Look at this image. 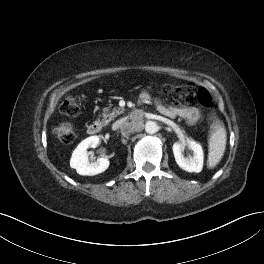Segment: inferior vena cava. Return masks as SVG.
Instances as JSON below:
<instances>
[{"instance_id":"obj_1","label":"inferior vena cava","mask_w":264,"mask_h":264,"mask_svg":"<svg viewBox=\"0 0 264 264\" xmlns=\"http://www.w3.org/2000/svg\"><path fill=\"white\" fill-rule=\"evenodd\" d=\"M125 122V120H115L113 123H112V129L113 130H117V129H121V126L123 125V123Z\"/></svg>"}]
</instances>
